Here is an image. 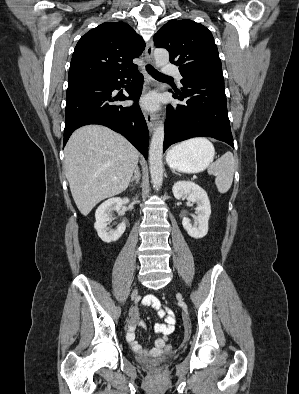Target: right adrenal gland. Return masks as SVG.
I'll use <instances>...</instances> for the list:
<instances>
[{
	"instance_id": "right-adrenal-gland-1",
	"label": "right adrenal gland",
	"mask_w": 299,
	"mask_h": 394,
	"mask_svg": "<svg viewBox=\"0 0 299 394\" xmlns=\"http://www.w3.org/2000/svg\"><path fill=\"white\" fill-rule=\"evenodd\" d=\"M140 177H141V174H140L139 167H136V169L134 171V176L130 180V183H131L130 186H132L134 188V183L138 184L140 181Z\"/></svg>"
}]
</instances>
